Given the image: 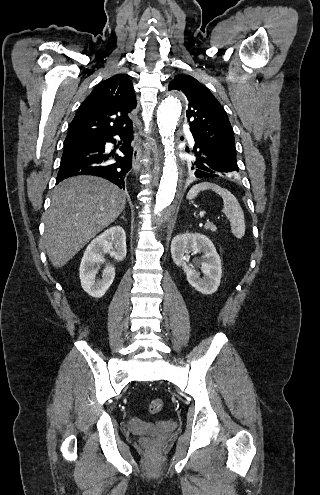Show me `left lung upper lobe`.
Returning a JSON list of instances; mask_svg holds the SVG:
<instances>
[{"instance_id":"obj_1","label":"left lung upper lobe","mask_w":320,"mask_h":495,"mask_svg":"<svg viewBox=\"0 0 320 495\" xmlns=\"http://www.w3.org/2000/svg\"><path fill=\"white\" fill-rule=\"evenodd\" d=\"M168 90H178L185 94L188 100L186 115L190 131L196 139L236 157L234 133L228 116L209 89L194 77L180 74L169 83ZM189 153L194 156L191 166L195 161V154L193 150Z\"/></svg>"}]
</instances>
